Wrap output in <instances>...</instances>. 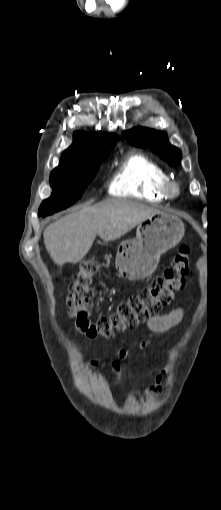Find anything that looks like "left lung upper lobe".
<instances>
[{"label": "left lung upper lobe", "mask_w": 221, "mask_h": 510, "mask_svg": "<svg viewBox=\"0 0 221 510\" xmlns=\"http://www.w3.org/2000/svg\"><path fill=\"white\" fill-rule=\"evenodd\" d=\"M123 137L134 146L150 148L170 165H179L181 163V151L168 143L167 135L164 132L136 127L129 131H124Z\"/></svg>", "instance_id": "5c2ea615"}]
</instances>
